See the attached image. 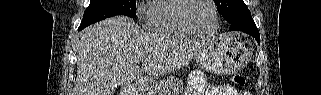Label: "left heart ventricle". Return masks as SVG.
<instances>
[{
  "instance_id": "1",
  "label": "left heart ventricle",
  "mask_w": 321,
  "mask_h": 95,
  "mask_svg": "<svg viewBox=\"0 0 321 95\" xmlns=\"http://www.w3.org/2000/svg\"><path fill=\"white\" fill-rule=\"evenodd\" d=\"M187 16L191 24L200 32H209L214 27V12L208 0L193 1L188 9Z\"/></svg>"
}]
</instances>
